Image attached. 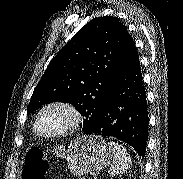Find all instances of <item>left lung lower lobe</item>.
<instances>
[{
  "label": "left lung lower lobe",
  "instance_id": "obj_1",
  "mask_svg": "<svg viewBox=\"0 0 183 179\" xmlns=\"http://www.w3.org/2000/svg\"><path fill=\"white\" fill-rule=\"evenodd\" d=\"M148 124V109L139 56L129 34L109 97L95 126L87 134L124 141L144 157Z\"/></svg>",
  "mask_w": 183,
  "mask_h": 179
}]
</instances>
